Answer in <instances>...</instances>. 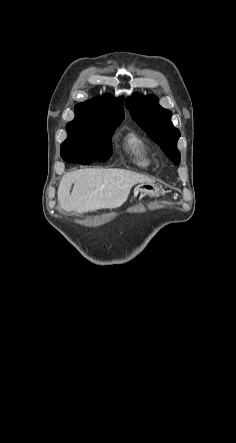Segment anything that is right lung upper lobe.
I'll use <instances>...</instances> for the list:
<instances>
[{"instance_id": "1", "label": "right lung upper lobe", "mask_w": 236, "mask_h": 443, "mask_svg": "<svg viewBox=\"0 0 236 443\" xmlns=\"http://www.w3.org/2000/svg\"><path fill=\"white\" fill-rule=\"evenodd\" d=\"M124 98L115 99L111 96H103L95 98L83 103H78L75 106L76 117H105L123 120Z\"/></svg>"}]
</instances>
